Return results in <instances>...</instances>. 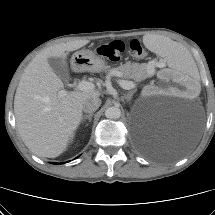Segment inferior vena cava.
<instances>
[{
	"label": "inferior vena cava",
	"mask_w": 215,
	"mask_h": 215,
	"mask_svg": "<svg viewBox=\"0 0 215 215\" xmlns=\"http://www.w3.org/2000/svg\"><path fill=\"white\" fill-rule=\"evenodd\" d=\"M100 104H101L100 98L98 97L89 98L83 103V111L86 113H92L99 108Z\"/></svg>",
	"instance_id": "1"
}]
</instances>
